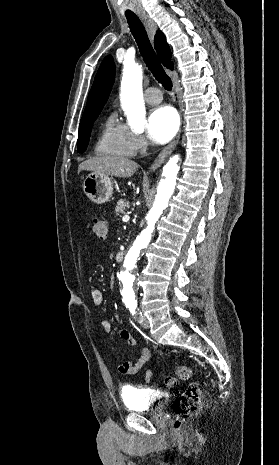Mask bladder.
Returning <instances> with one entry per match:
<instances>
[{"instance_id": "bladder-1", "label": "bladder", "mask_w": 279, "mask_h": 465, "mask_svg": "<svg viewBox=\"0 0 279 465\" xmlns=\"http://www.w3.org/2000/svg\"><path fill=\"white\" fill-rule=\"evenodd\" d=\"M125 408L130 412H153L161 414L166 408L169 396L140 386H125L121 390Z\"/></svg>"}]
</instances>
